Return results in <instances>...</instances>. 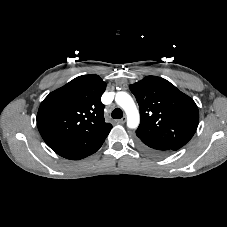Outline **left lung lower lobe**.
I'll return each mask as SVG.
<instances>
[{
	"instance_id": "obj_1",
	"label": "left lung lower lobe",
	"mask_w": 227,
	"mask_h": 227,
	"mask_svg": "<svg viewBox=\"0 0 227 227\" xmlns=\"http://www.w3.org/2000/svg\"><path fill=\"white\" fill-rule=\"evenodd\" d=\"M137 145L144 150L145 152L152 154V155H163L165 153L168 152V150H166L163 147H159V146H154V145H150V144H144L141 141L137 140Z\"/></svg>"
}]
</instances>
